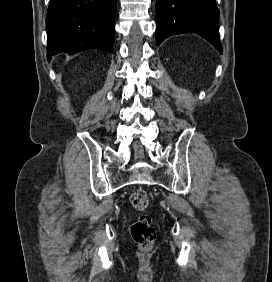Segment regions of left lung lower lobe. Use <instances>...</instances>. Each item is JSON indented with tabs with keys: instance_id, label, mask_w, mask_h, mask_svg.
Wrapping results in <instances>:
<instances>
[{
	"instance_id": "obj_1",
	"label": "left lung lower lobe",
	"mask_w": 272,
	"mask_h": 282,
	"mask_svg": "<svg viewBox=\"0 0 272 282\" xmlns=\"http://www.w3.org/2000/svg\"><path fill=\"white\" fill-rule=\"evenodd\" d=\"M156 12L157 44L173 34L194 32L222 54L215 0H157Z\"/></svg>"
}]
</instances>
